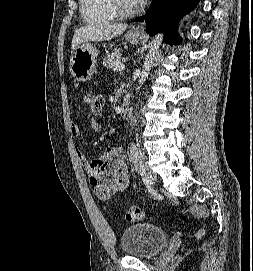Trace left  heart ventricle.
<instances>
[{
  "label": "left heart ventricle",
  "mask_w": 253,
  "mask_h": 271,
  "mask_svg": "<svg viewBox=\"0 0 253 271\" xmlns=\"http://www.w3.org/2000/svg\"><path fill=\"white\" fill-rule=\"evenodd\" d=\"M126 3L131 6V7H134V6H137L138 4L135 2V0H126Z\"/></svg>",
  "instance_id": "obj_1"
}]
</instances>
